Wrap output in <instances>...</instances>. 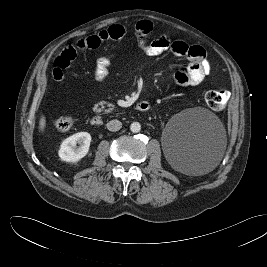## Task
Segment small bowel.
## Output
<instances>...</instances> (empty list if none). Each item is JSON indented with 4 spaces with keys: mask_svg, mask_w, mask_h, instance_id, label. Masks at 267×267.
<instances>
[{
    "mask_svg": "<svg viewBox=\"0 0 267 267\" xmlns=\"http://www.w3.org/2000/svg\"><path fill=\"white\" fill-rule=\"evenodd\" d=\"M152 30L153 24L151 21L141 20L137 22L135 34L140 48L150 56L170 52L175 56L186 58L188 61L187 68L175 74V84L181 87L201 84L211 71L205 50L201 46L189 45L184 41H173L167 36H161L148 42L146 38ZM126 34L127 30L123 25L115 24L96 34L82 38L75 44L64 47L55 60L53 77L56 80L63 78V70L76 57L77 51L96 49L101 43L109 40H120ZM111 57V55H107L98 59L95 68V78L97 80L102 81L108 75Z\"/></svg>",
    "mask_w": 267,
    "mask_h": 267,
    "instance_id": "obj_1",
    "label": "small bowel"
}]
</instances>
